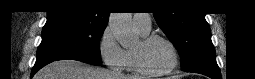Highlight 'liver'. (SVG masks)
<instances>
[{
  "mask_svg": "<svg viewBox=\"0 0 255 79\" xmlns=\"http://www.w3.org/2000/svg\"><path fill=\"white\" fill-rule=\"evenodd\" d=\"M34 79H136L76 60H59L42 68Z\"/></svg>",
  "mask_w": 255,
  "mask_h": 79,
  "instance_id": "6515ba94",
  "label": "liver"
}]
</instances>
